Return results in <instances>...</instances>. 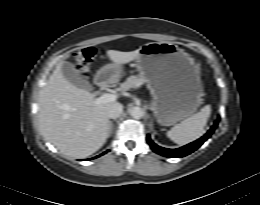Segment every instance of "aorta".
Returning a JSON list of instances; mask_svg holds the SVG:
<instances>
[{"label":"aorta","instance_id":"aorta-1","mask_svg":"<svg viewBox=\"0 0 260 205\" xmlns=\"http://www.w3.org/2000/svg\"><path fill=\"white\" fill-rule=\"evenodd\" d=\"M129 113L134 119H140L144 116V110L138 106L132 107Z\"/></svg>","mask_w":260,"mask_h":205}]
</instances>
